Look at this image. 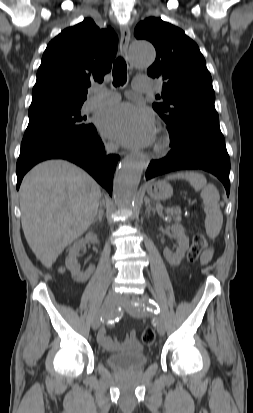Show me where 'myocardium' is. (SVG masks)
Masks as SVG:
<instances>
[{
  "label": "myocardium",
  "mask_w": 253,
  "mask_h": 413,
  "mask_svg": "<svg viewBox=\"0 0 253 413\" xmlns=\"http://www.w3.org/2000/svg\"><path fill=\"white\" fill-rule=\"evenodd\" d=\"M169 139L166 135H160L155 144H154V151L156 154H164L169 149Z\"/></svg>",
  "instance_id": "1"
}]
</instances>
